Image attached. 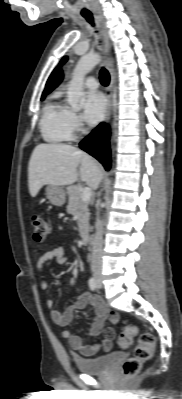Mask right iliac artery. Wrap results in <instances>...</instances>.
I'll return each instance as SVG.
<instances>
[{"mask_svg": "<svg viewBox=\"0 0 182 399\" xmlns=\"http://www.w3.org/2000/svg\"><path fill=\"white\" fill-rule=\"evenodd\" d=\"M88 285H89V288H90L92 291H95L96 288H97L96 279H95L94 277H91V278L89 279V281H88Z\"/></svg>", "mask_w": 182, "mask_h": 399, "instance_id": "obj_1", "label": "right iliac artery"}]
</instances>
